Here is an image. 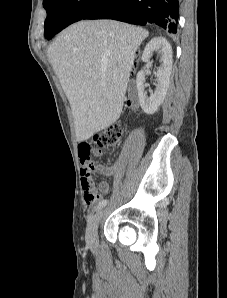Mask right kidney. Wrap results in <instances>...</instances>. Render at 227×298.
<instances>
[{
	"label": "right kidney",
	"instance_id": "ca27d5eb",
	"mask_svg": "<svg viewBox=\"0 0 227 298\" xmlns=\"http://www.w3.org/2000/svg\"><path fill=\"white\" fill-rule=\"evenodd\" d=\"M153 53L159 57L160 67L155 73L157 77V85L154 93L147 96L145 88V71H140L137 74L136 84L138 91L139 103L143 111L148 114H154L159 106L164 101L166 96L170 75L172 70V47L170 43L163 37H154L145 47L142 54V61L149 62Z\"/></svg>",
	"mask_w": 227,
	"mask_h": 298
}]
</instances>
